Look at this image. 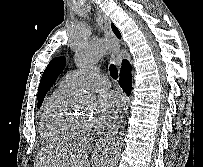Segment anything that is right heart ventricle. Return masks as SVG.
I'll list each match as a JSON object with an SVG mask.
<instances>
[{
    "mask_svg": "<svg viewBox=\"0 0 203 167\" xmlns=\"http://www.w3.org/2000/svg\"><path fill=\"white\" fill-rule=\"evenodd\" d=\"M71 87L62 83L46 100L41 116L42 137L51 144H63L75 140L79 134L75 115L69 108Z\"/></svg>",
    "mask_w": 203,
    "mask_h": 167,
    "instance_id": "right-heart-ventricle-1",
    "label": "right heart ventricle"
}]
</instances>
